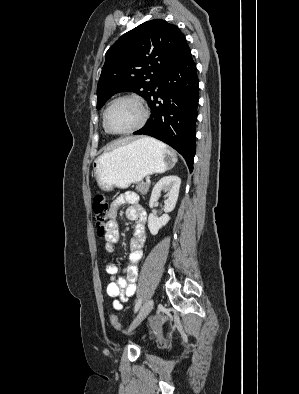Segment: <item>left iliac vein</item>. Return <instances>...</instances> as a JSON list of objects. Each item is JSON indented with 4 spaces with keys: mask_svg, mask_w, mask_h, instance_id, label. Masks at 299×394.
Returning a JSON list of instances; mask_svg holds the SVG:
<instances>
[{
    "mask_svg": "<svg viewBox=\"0 0 299 394\" xmlns=\"http://www.w3.org/2000/svg\"><path fill=\"white\" fill-rule=\"evenodd\" d=\"M153 305H154V301L152 299L147 300L143 304L138 315L133 320L128 332H131L136 326H138L145 319V317L151 312Z\"/></svg>",
    "mask_w": 299,
    "mask_h": 394,
    "instance_id": "1",
    "label": "left iliac vein"
}]
</instances>
